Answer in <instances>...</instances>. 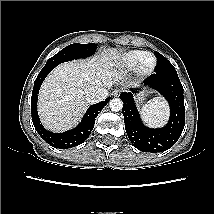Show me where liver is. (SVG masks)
Segmentation results:
<instances>
[{
	"instance_id": "liver-1",
	"label": "liver",
	"mask_w": 214,
	"mask_h": 214,
	"mask_svg": "<svg viewBox=\"0 0 214 214\" xmlns=\"http://www.w3.org/2000/svg\"><path fill=\"white\" fill-rule=\"evenodd\" d=\"M118 57L109 49L101 58L66 62L57 66L43 82L38 99V112L44 126L52 131H65L78 123L90 103L89 88H110L121 79L115 69Z\"/></svg>"
}]
</instances>
